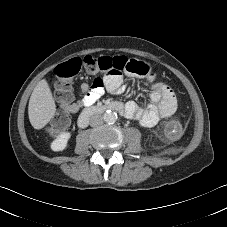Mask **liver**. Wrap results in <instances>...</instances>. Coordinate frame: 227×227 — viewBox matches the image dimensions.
Masks as SVG:
<instances>
[{
	"label": "liver",
	"mask_w": 227,
	"mask_h": 227,
	"mask_svg": "<svg viewBox=\"0 0 227 227\" xmlns=\"http://www.w3.org/2000/svg\"><path fill=\"white\" fill-rule=\"evenodd\" d=\"M56 105L50 87L45 79L34 88L28 105L29 121L33 128L42 129L53 118Z\"/></svg>",
	"instance_id": "obj_1"
}]
</instances>
